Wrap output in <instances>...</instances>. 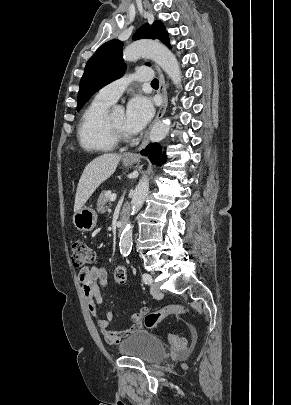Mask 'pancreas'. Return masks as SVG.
<instances>
[{
    "mask_svg": "<svg viewBox=\"0 0 291 405\" xmlns=\"http://www.w3.org/2000/svg\"><path fill=\"white\" fill-rule=\"evenodd\" d=\"M107 193V191H103L98 198L97 211L100 213L105 212V210L107 209L106 204H108L110 201V196Z\"/></svg>",
    "mask_w": 291,
    "mask_h": 405,
    "instance_id": "pancreas-1",
    "label": "pancreas"
}]
</instances>
